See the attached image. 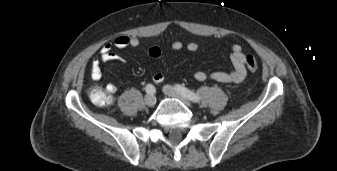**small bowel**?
<instances>
[{
  "mask_svg": "<svg viewBox=\"0 0 337 171\" xmlns=\"http://www.w3.org/2000/svg\"><path fill=\"white\" fill-rule=\"evenodd\" d=\"M140 45V40L135 36L128 35H118L112 42L106 43L100 50V54L98 57L93 59L91 63L90 74L91 78L94 81H100L102 78V70L101 63L111 62V61H124L123 58L117 54L114 50H122L128 47H138ZM172 49L175 51H179L183 49V42L177 40L174 41L171 45ZM205 45L196 41H191L187 44V49L189 51H198L204 48ZM162 54V50L158 46H152L149 49V55L155 61H157ZM230 60L233 65V70L230 72L223 71H214V72H206V71H197L194 74V78L197 81H206V80H214L221 83H240L242 82L247 74L246 70V54L241 45L232 44L230 46ZM164 74L160 71L156 72L153 76V82L156 85L161 84L164 81ZM105 90L110 94H115L117 92V86L109 83L106 85Z\"/></svg>",
  "mask_w": 337,
  "mask_h": 171,
  "instance_id": "1",
  "label": "small bowel"
}]
</instances>
